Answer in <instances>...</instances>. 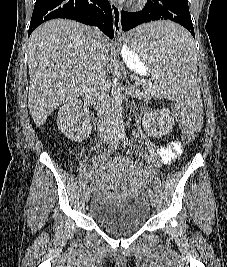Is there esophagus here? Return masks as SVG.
<instances>
[{"label":"esophagus","mask_w":227,"mask_h":267,"mask_svg":"<svg viewBox=\"0 0 227 267\" xmlns=\"http://www.w3.org/2000/svg\"><path fill=\"white\" fill-rule=\"evenodd\" d=\"M111 9L113 14V26L116 36H119L122 31L121 27V7L114 0H111Z\"/></svg>","instance_id":"obj_1"}]
</instances>
